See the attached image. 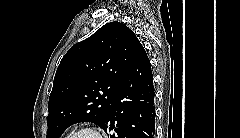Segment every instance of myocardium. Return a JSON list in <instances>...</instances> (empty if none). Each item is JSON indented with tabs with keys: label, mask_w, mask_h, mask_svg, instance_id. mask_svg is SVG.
Segmentation results:
<instances>
[{
	"label": "myocardium",
	"mask_w": 240,
	"mask_h": 138,
	"mask_svg": "<svg viewBox=\"0 0 240 138\" xmlns=\"http://www.w3.org/2000/svg\"><path fill=\"white\" fill-rule=\"evenodd\" d=\"M83 133H91L93 134L94 138H103L102 133L93 126H85L82 128H79L77 131H75L70 138H78Z\"/></svg>",
	"instance_id": "obj_1"
}]
</instances>
